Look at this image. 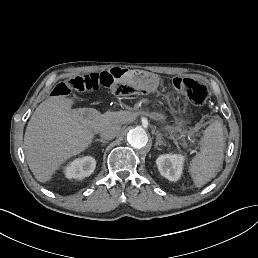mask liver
<instances>
[{"mask_svg":"<svg viewBox=\"0 0 258 258\" xmlns=\"http://www.w3.org/2000/svg\"><path fill=\"white\" fill-rule=\"evenodd\" d=\"M92 111L70 110L63 97H52L36 108L26 128L24 147L27 163L38 181H46L63 161L90 144L93 133L83 121Z\"/></svg>","mask_w":258,"mask_h":258,"instance_id":"1","label":"liver"}]
</instances>
